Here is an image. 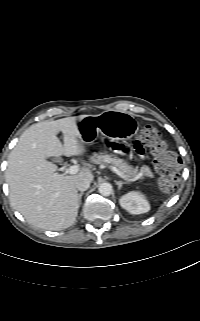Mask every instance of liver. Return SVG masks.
Returning <instances> with one entry per match:
<instances>
[{
    "mask_svg": "<svg viewBox=\"0 0 200 321\" xmlns=\"http://www.w3.org/2000/svg\"><path fill=\"white\" fill-rule=\"evenodd\" d=\"M83 117L85 115L78 119ZM76 120V117H66L31 125L9 154L5 176L10 203L35 227L61 230L71 226L79 209L76 181L94 179L88 168L73 175L59 174L57 166L47 160L86 153ZM59 132L63 133V145L57 137Z\"/></svg>",
    "mask_w": 200,
    "mask_h": 321,
    "instance_id": "liver-1",
    "label": "liver"
}]
</instances>
